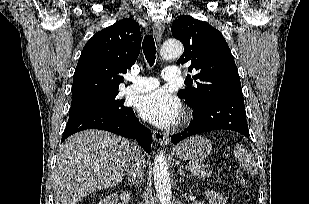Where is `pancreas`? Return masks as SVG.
Masks as SVG:
<instances>
[{"label": "pancreas", "instance_id": "obj_1", "mask_svg": "<svg viewBox=\"0 0 309 204\" xmlns=\"http://www.w3.org/2000/svg\"><path fill=\"white\" fill-rule=\"evenodd\" d=\"M187 170L190 171L191 175L200 177L202 179L209 177L212 174V171L208 169L207 165L197 164V163H189Z\"/></svg>", "mask_w": 309, "mask_h": 204}]
</instances>
